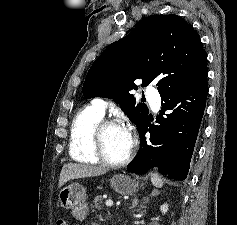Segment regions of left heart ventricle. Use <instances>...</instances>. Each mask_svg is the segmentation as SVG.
Masks as SVG:
<instances>
[{"instance_id": "1", "label": "left heart ventricle", "mask_w": 237, "mask_h": 225, "mask_svg": "<svg viewBox=\"0 0 237 225\" xmlns=\"http://www.w3.org/2000/svg\"><path fill=\"white\" fill-rule=\"evenodd\" d=\"M103 147L107 158L111 161L124 159L131 147V138L124 127H109L103 135Z\"/></svg>"}]
</instances>
